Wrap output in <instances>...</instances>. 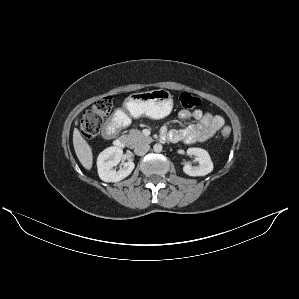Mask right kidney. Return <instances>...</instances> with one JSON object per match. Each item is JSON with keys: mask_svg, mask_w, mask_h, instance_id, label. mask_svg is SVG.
I'll list each match as a JSON object with an SVG mask.
<instances>
[{"mask_svg": "<svg viewBox=\"0 0 299 299\" xmlns=\"http://www.w3.org/2000/svg\"><path fill=\"white\" fill-rule=\"evenodd\" d=\"M123 155L120 147L112 146L103 150L97 158L98 174L104 182H119L129 176L135 164L132 161L125 162L118 171L113 167L117 166Z\"/></svg>", "mask_w": 299, "mask_h": 299, "instance_id": "right-kidney-1", "label": "right kidney"}]
</instances>
